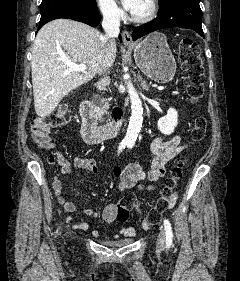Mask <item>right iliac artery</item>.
<instances>
[{
	"label": "right iliac artery",
	"mask_w": 240,
	"mask_h": 281,
	"mask_svg": "<svg viewBox=\"0 0 240 281\" xmlns=\"http://www.w3.org/2000/svg\"><path fill=\"white\" fill-rule=\"evenodd\" d=\"M127 143L122 142L119 146L118 152H121L122 149H124L126 147Z\"/></svg>",
	"instance_id": "right-iliac-artery-1"
}]
</instances>
